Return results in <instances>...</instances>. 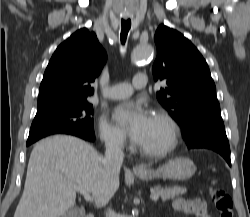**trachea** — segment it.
Returning a JSON list of instances; mask_svg holds the SVG:
<instances>
[{
    "label": "trachea",
    "mask_w": 250,
    "mask_h": 217,
    "mask_svg": "<svg viewBox=\"0 0 250 217\" xmlns=\"http://www.w3.org/2000/svg\"><path fill=\"white\" fill-rule=\"evenodd\" d=\"M122 29H121V43L124 45L127 39L128 32L131 28V21L130 20H122L121 21Z\"/></svg>",
    "instance_id": "1"
}]
</instances>
